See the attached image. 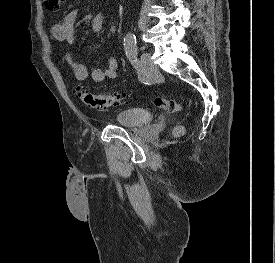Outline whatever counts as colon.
<instances>
[{
    "label": "colon",
    "mask_w": 275,
    "mask_h": 263,
    "mask_svg": "<svg viewBox=\"0 0 275 263\" xmlns=\"http://www.w3.org/2000/svg\"><path fill=\"white\" fill-rule=\"evenodd\" d=\"M61 0H44V6L49 11H57L60 7ZM76 96L87 106L93 108L106 109L110 107L120 106L128 101L126 94L102 93L94 94L86 90L82 85H77L74 88ZM155 106L164 110L167 113H176L180 111L181 105L173 99L156 98ZM184 132L182 125H177L173 131V136H180Z\"/></svg>",
    "instance_id": "obj_1"
}]
</instances>
